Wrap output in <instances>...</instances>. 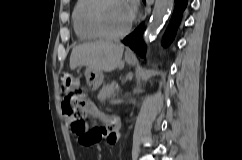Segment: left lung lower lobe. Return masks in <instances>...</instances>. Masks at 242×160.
I'll return each mask as SVG.
<instances>
[{"instance_id":"left-lung-lower-lobe-1","label":"left lung lower lobe","mask_w":242,"mask_h":160,"mask_svg":"<svg viewBox=\"0 0 242 160\" xmlns=\"http://www.w3.org/2000/svg\"><path fill=\"white\" fill-rule=\"evenodd\" d=\"M145 1V0H143ZM188 0H175V8L168 28L163 37L162 45L168 46L175 38L177 28L182 18L183 11L187 6ZM144 24H140L130 35L123 39V43L133 49L139 56H145V45L142 40Z\"/></svg>"}]
</instances>
